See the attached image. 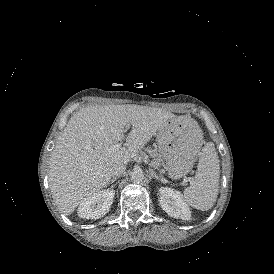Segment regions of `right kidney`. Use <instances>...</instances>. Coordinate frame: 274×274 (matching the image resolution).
I'll list each match as a JSON object with an SVG mask.
<instances>
[{"label":"right kidney","mask_w":274,"mask_h":274,"mask_svg":"<svg viewBox=\"0 0 274 274\" xmlns=\"http://www.w3.org/2000/svg\"><path fill=\"white\" fill-rule=\"evenodd\" d=\"M115 191L102 190L84 198L77 209L78 216L83 219H99L109 212Z\"/></svg>","instance_id":"obj_1"}]
</instances>
